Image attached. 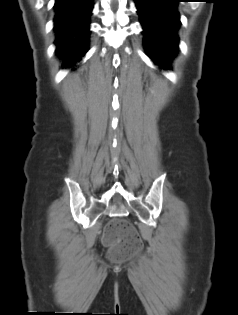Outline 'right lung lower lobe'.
Segmentation results:
<instances>
[{"instance_id":"right-lung-lower-lobe-1","label":"right lung lower lobe","mask_w":238,"mask_h":315,"mask_svg":"<svg viewBox=\"0 0 238 315\" xmlns=\"http://www.w3.org/2000/svg\"><path fill=\"white\" fill-rule=\"evenodd\" d=\"M93 0H56L54 32L56 55L64 67L74 66L88 51Z\"/></svg>"}]
</instances>
